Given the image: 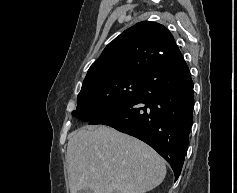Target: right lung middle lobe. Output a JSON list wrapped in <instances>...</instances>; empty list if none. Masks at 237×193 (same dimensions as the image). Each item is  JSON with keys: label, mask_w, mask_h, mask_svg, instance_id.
<instances>
[{"label": "right lung middle lobe", "mask_w": 237, "mask_h": 193, "mask_svg": "<svg viewBox=\"0 0 237 193\" xmlns=\"http://www.w3.org/2000/svg\"><path fill=\"white\" fill-rule=\"evenodd\" d=\"M144 76L128 75L82 86L72 115L83 121L103 117L128 103L140 90Z\"/></svg>", "instance_id": "dd1d6c3e"}]
</instances>
